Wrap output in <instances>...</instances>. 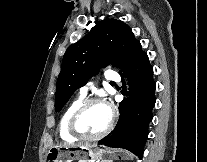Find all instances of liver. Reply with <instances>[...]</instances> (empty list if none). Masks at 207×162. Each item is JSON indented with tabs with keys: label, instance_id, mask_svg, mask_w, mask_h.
<instances>
[{
	"label": "liver",
	"instance_id": "obj_1",
	"mask_svg": "<svg viewBox=\"0 0 207 162\" xmlns=\"http://www.w3.org/2000/svg\"><path fill=\"white\" fill-rule=\"evenodd\" d=\"M63 146L65 147H85V148H95L96 145L95 144H73V145H67V144H64Z\"/></svg>",
	"mask_w": 207,
	"mask_h": 162
}]
</instances>
